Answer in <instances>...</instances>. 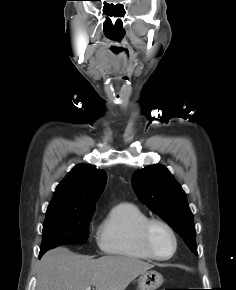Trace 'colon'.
<instances>
[{
  "mask_svg": "<svg viewBox=\"0 0 236 290\" xmlns=\"http://www.w3.org/2000/svg\"><path fill=\"white\" fill-rule=\"evenodd\" d=\"M164 290H177V289H164Z\"/></svg>",
  "mask_w": 236,
  "mask_h": 290,
  "instance_id": "colon-1",
  "label": "colon"
}]
</instances>
